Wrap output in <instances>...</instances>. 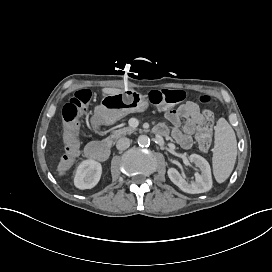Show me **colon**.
I'll list each match as a JSON object with an SVG mask.
<instances>
[{"mask_svg": "<svg viewBox=\"0 0 272 272\" xmlns=\"http://www.w3.org/2000/svg\"><path fill=\"white\" fill-rule=\"evenodd\" d=\"M91 97L92 94L89 90L82 89L69 99L62 109L61 120L64 125L62 128V145L64 156L58 166L61 174L69 168L70 162L76 161L80 156V150L77 145L76 127L86 113V106L90 102ZM149 99L156 110H163L164 108H172L174 103L181 102L184 99V94L178 90H151L149 92ZM198 102L206 105L211 102V97L201 96ZM213 121V112L206 108L200 118V125L204 128L196 136L201 150H208L210 148L212 137L211 125Z\"/></svg>", "mask_w": 272, "mask_h": 272, "instance_id": "colon-1", "label": "colon"}]
</instances>
